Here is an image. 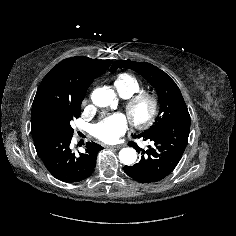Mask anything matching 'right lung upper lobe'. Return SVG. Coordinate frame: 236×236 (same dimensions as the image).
<instances>
[{
	"label": "right lung upper lobe",
	"instance_id": "1",
	"mask_svg": "<svg viewBox=\"0 0 236 236\" xmlns=\"http://www.w3.org/2000/svg\"><path fill=\"white\" fill-rule=\"evenodd\" d=\"M111 62L75 56L54 66L36 92L32 105L31 130H35L39 114L48 106L81 103L89 85L107 70Z\"/></svg>",
	"mask_w": 236,
	"mask_h": 236
}]
</instances>
